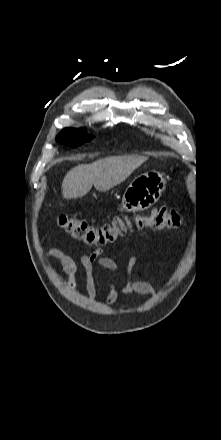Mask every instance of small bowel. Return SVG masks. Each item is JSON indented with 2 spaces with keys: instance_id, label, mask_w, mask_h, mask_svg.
I'll use <instances>...</instances> for the list:
<instances>
[{
  "instance_id": "c3829d8e",
  "label": "small bowel",
  "mask_w": 221,
  "mask_h": 440,
  "mask_svg": "<svg viewBox=\"0 0 221 440\" xmlns=\"http://www.w3.org/2000/svg\"><path fill=\"white\" fill-rule=\"evenodd\" d=\"M46 257L55 258L59 261L62 270L68 276L67 286L69 288H73L76 285L75 275L78 271V265L76 261L59 248L48 249L46 251ZM137 261L138 259L136 256H131L128 260L127 267L125 268V270H122L113 259L103 255L102 249H99L90 254L81 255L79 263L84 270L85 287L89 298L93 299L97 294V285L94 275V270L96 267H101L112 272L123 273L124 284L120 288L123 293L154 295L155 290L150 282L137 280L134 278L133 268ZM148 266L149 263L147 264V267ZM118 294V286L113 282L109 283L105 305H112L117 300Z\"/></svg>"
}]
</instances>
